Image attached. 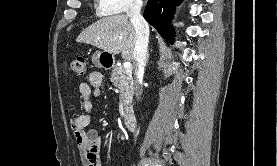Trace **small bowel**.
<instances>
[{"label":"small bowel","mask_w":277,"mask_h":166,"mask_svg":"<svg viewBox=\"0 0 277 166\" xmlns=\"http://www.w3.org/2000/svg\"><path fill=\"white\" fill-rule=\"evenodd\" d=\"M101 84L102 75L96 71L80 82L78 91L83 113L73 116L70 121L83 166H101L102 135L96 129H88L95 113L91 97L99 96Z\"/></svg>","instance_id":"1"}]
</instances>
